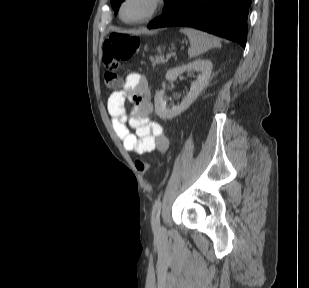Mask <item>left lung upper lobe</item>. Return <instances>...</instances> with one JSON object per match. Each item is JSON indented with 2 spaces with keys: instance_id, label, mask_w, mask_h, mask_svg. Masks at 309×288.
<instances>
[{
  "instance_id": "left-lung-upper-lobe-1",
  "label": "left lung upper lobe",
  "mask_w": 309,
  "mask_h": 288,
  "mask_svg": "<svg viewBox=\"0 0 309 288\" xmlns=\"http://www.w3.org/2000/svg\"><path fill=\"white\" fill-rule=\"evenodd\" d=\"M124 0H111L112 8L114 9L115 13L118 11L119 6L121 2ZM175 0H165V7L164 10H166Z\"/></svg>"
}]
</instances>
